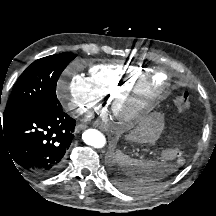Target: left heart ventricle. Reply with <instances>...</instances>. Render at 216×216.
<instances>
[{
	"label": "left heart ventricle",
	"mask_w": 216,
	"mask_h": 216,
	"mask_svg": "<svg viewBox=\"0 0 216 216\" xmlns=\"http://www.w3.org/2000/svg\"><path fill=\"white\" fill-rule=\"evenodd\" d=\"M163 82H164V76H162V75L157 76L156 83L162 84Z\"/></svg>",
	"instance_id": "b2bd125f"
}]
</instances>
